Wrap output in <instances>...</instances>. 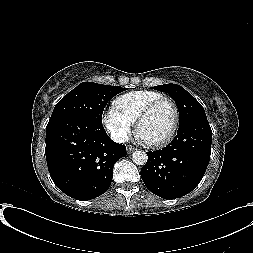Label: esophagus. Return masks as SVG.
<instances>
[{
    "instance_id": "esophagus-1",
    "label": "esophagus",
    "mask_w": 253,
    "mask_h": 253,
    "mask_svg": "<svg viewBox=\"0 0 253 253\" xmlns=\"http://www.w3.org/2000/svg\"><path fill=\"white\" fill-rule=\"evenodd\" d=\"M134 150H135V148L132 146L127 147L128 154H131Z\"/></svg>"
}]
</instances>
